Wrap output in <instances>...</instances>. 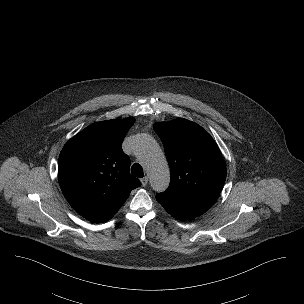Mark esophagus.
Wrapping results in <instances>:
<instances>
[{"instance_id":"obj_1","label":"esophagus","mask_w":304,"mask_h":304,"mask_svg":"<svg viewBox=\"0 0 304 304\" xmlns=\"http://www.w3.org/2000/svg\"><path fill=\"white\" fill-rule=\"evenodd\" d=\"M140 181H141L142 186H146L148 184V177L145 176Z\"/></svg>"}]
</instances>
